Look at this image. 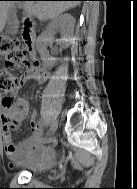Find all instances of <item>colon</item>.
Returning a JSON list of instances; mask_svg holds the SVG:
<instances>
[{"instance_id": "obj_1", "label": "colon", "mask_w": 137, "mask_h": 189, "mask_svg": "<svg viewBox=\"0 0 137 189\" xmlns=\"http://www.w3.org/2000/svg\"><path fill=\"white\" fill-rule=\"evenodd\" d=\"M0 57L5 63V67L0 68V103L10 105L11 94L20 85L14 71L26 69L31 64L19 39L7 35H0Z\"/></svg>"}]
</instances>
